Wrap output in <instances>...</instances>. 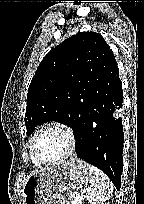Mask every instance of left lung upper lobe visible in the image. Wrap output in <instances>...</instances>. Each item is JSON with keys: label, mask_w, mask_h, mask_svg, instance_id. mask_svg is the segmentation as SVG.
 <instances>
[{"label": "left lung upper lobe", "mask_w": 144, "mask_h": 204, "mask_svg": "<svg viewBox=\"0 0 144 204\" xmlns=\"http://www.w3.org/2000/svg\"><path fill=\"white\" fill-rule=\"evenodd\" d=\"M114 54L95 32H80L52 49L41 61L27 94V135L37 125L59 121L77 134L83 126L87 95L98 66Z\"/></svg>", "instance_id": "5c2ea615"}]
</instances>
